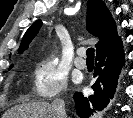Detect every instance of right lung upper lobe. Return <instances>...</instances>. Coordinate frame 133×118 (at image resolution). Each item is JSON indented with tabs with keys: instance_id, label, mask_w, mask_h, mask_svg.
Here are the masks:
<instances>
[{
	"instance_id": "1",
	"label": "right lung upper lobe",
	"mask_w": 133,
	"mask_h": 118,
	"mask_svg": "<svg viewBox=\"0 0 133 118\" xmlns=\"http://www.w3.org/2000/svg\"><path fill=\"white\" fill-rule=\"evenodd\" d=\"M42 25L41 20L35 21L26 31L20 44L19 53L27 49L32 39L38 33ZM87 30L92 35L99 38L95 45L96 52L110 45L119 38L117 35L116 24L111 13L102 0H88L87 4ZM12 67V65L10 66Z\"/></svg>"
}]
</instances>
